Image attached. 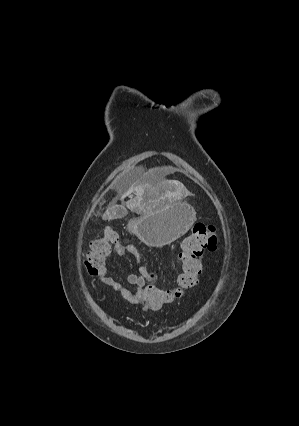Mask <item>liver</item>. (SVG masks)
I'll return each instance as SVG.
<instances>
[{
  "mask_svg": "<svg viewBox=\"0 0 299 426\" xmlns=\"http://www.w3.org/2000/svg\"><path fill=\"white\" fill-rule=\"evenodd\" d=\"M169 184V183H168ZM168 184H165L162 189H165ZM161 188L160 187H152L145 184V183H139L135 182L132 183L128 188H119L118 193L120 195V200L124 201V199L129 196L132 192H135L136 198L133 200H130L125 203L126 207L133 209L134 207H138L141 210L144 209V207L148 206H155L157 203V200L155 197H157L160 194ZM170 193L168 191L165 192V197H169ZM163 199V198H162ZM127 213V210L124 205H113L110 208H108L103 215V219H115L122 215H125Z\"/></svg>",
  "mask_w": 299,
  "mask_h": 426,
  "instance_id": "1",
  "label": "liver"
}]
</instances>
